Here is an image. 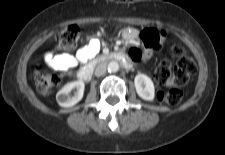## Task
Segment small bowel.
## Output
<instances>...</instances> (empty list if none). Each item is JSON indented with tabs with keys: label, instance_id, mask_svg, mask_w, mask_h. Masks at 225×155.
<instances>
[{
	"label": "small bowel",
	"instance_id": "obj_1",
	"mask_svg": "<svg viewBox=\"0 0 225 155\" xmlns=\"http://www.w3.org/2000/svg\"><path fill=\"white\" fill-rule=\"evenodd\" d=\"M137 37L138 33L135 30H128L125 33V38L130 44L135 43ZM100 47L101 43L99 39L93 38L86 46L80 48L75 55L67 53L54 55L48 52L44 55V60L46 64L53 69L68 70L75 67L77 64L86 62L88 59L95 56L99 52ZM150 56V51H146L144 53V59H148Z\"/></svg>",
	"mask_w": 225,
	"mask_h": 155
}]
</instances>
